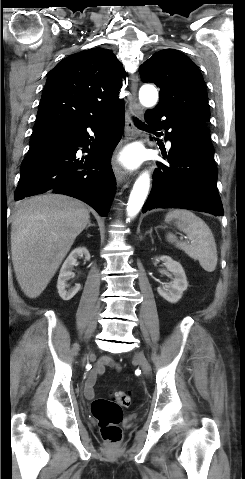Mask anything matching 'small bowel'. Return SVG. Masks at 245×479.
Wrapping results in <instances>:
<instances>
[{
	"label": "small bowel",
	"mask_w": 245,
	"mask_h": 479,
	"mask_svg": "<svg viewBox=\"0 0 245 479\" xmlns=\"http://www.w3.org/2000/svg\"><path fill=\"white\" fill-rule=\"evenodd\" d=\"M105 367H111L116 370L121 369L120 366L117 363H115V361L111 357L109 356L103 357L99 361V363L94 367V369L89 374L86 380L84 392L88 398H93L95 396V384H96L97 377L104 373Z\"/></svg>",
	"instance_id": "obj_1"
}]
</instances>
